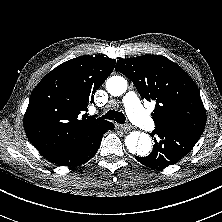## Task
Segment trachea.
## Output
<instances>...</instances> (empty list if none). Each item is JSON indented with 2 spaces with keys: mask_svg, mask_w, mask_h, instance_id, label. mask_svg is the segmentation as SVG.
<instances>
[{
  "mask_svg": "<svg viewBox=\"0 0 222 222\" xmlns=\"http://www.w3.org/2000/svg\"><path fill=\"white\" fill-rule=\"evenodd\" d=\"M102 119L115 120L117 123L124 124L126 117L122 112L109 110L105 115L101 117Z\"/></svg>",
  "mask_w": 222,
  "mask_h": 222,
  "instance_id": "3493384b",
  "label": "trachea"
}]
</instances>
